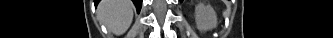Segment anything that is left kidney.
I'll list each match as a JSON object with an SVG mask.
<instances>
[{
  "mask_svg": "<svg viewBox=\"0 0 333 38\" xmlns=\"http://www.w3.org/2000/svg\"><path fill=\"white\" fill-rule=\"evenodd\" d=\"M195 19L201 32L217 27V15L210 5L198 4L195 8Z\"/></svg>",
  "mask_w": 333,
  "mask_h": 38,
  "instance_id": "left-kidney-1",
  "label": "left kidney"
}]
</instances>
